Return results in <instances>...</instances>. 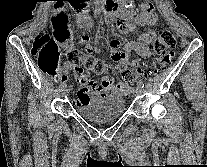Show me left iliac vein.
I'll list each match as a JSON object with an SVG mask.
<instances>
[{"mask_svg":"<svg viewBox=\"0 0 207 167\" xmlns=\"http://www.w3.org/2000/svg\"><path fill=\"white\" fill-rule=\"evenodd\" d=\"M135 93H136L137 95L141 94V93H142V87L137 86V88H136V90H135Z\"/></svg>","mask_w":207,"mask_h":167,"instance_id":"1","label":"left iliac vein"}]
</instances>
